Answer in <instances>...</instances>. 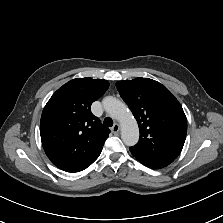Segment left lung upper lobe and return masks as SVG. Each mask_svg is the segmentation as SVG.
<instances>
[{"instance_id": "5c2ea615", "label": "left lung upper lobe", "mask_w": 223, "mask_h": 223, "mask_svg": "<svg viewBox=\"0 0 223 223\" xmlns=\"http://www.w3.org/2000/svg\"><path fill=\"white\" fill-rule=\"evenodd\" d=\"M116 86L139 125V141L130 147L133 156L165 166L172 163L187 134V119L178 100L162 84L148 78L119 81Z\"/></svg>"}]
</instances>
